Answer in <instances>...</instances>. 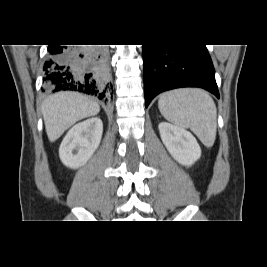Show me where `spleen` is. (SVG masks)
Wrapping results in <instances>:
<instances>
[{
    "label": "spleen",
    "mask_w": 267,
    "mask_h": 267,
    "mask_svg": "<svg viewBox=\"0 0 267 267\" xmlns=\"http://www.w3.org/2000/svg\"><path fill=\"white\" fill-rule=\"evenodd\" d=\"M158 108L171 123L180 128H190L205 146L214 144L217 110L206 91L186 88L163 93L158 100Z\"/></svg>",
    "instance_id": "3e777b00"
}]
</instances>
